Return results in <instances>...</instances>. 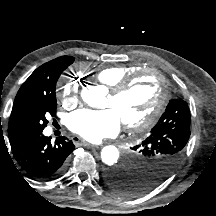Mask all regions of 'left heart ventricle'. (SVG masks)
Returning <instances> with one entry per match:
<instances>
[{
    "instance_id": "left-heart-ventricle-1",
    "label": "left heart ventricle",
    "mask_w": 216,
    "mask_h": 216,
    "mask_svg": "<svg viewBox=\"0 0 216 216\" xmlns=\"http://www.w3.org/2000/svg\"><path fill=\"white\" fill-rule=\"evenodd\" d=\"M160 94V82L156 75L148 73L140 77L132 87L118 98L110 95L106 107L112 108L121 121L133 124L148 116Z\"/></svg>"
}]
</instances>
